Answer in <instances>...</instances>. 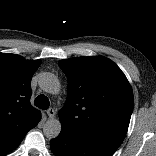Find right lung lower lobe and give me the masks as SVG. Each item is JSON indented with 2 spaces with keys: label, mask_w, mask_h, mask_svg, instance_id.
<instances>
[{
  "label": "right lung lower lobe",
  "mask_w": 156,
  "mask_h": 156,
  "mask_svg": "<svg viewBox=\"0 0 156 156\" xmlns=\"http://www.w3.org/2000/svg\"><path fill=\"white\" fill-rule=\"evenodd\" d=\"M25 135H26V134H25ZM25 135H24V136H25ZM24 136H23L16 144H14L13 146H10V147H8V148H4V146H2V147L0 148V155L6 154V153L12 151L13 149H15L17 146H19V144L21 143V141H22V139L24 138Z\"/></svg>",
  "instance_id": "1"
}]
</instances>
